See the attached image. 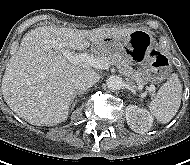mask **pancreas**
I'll list each match as a JSON object with an SVG mask.
<instances>
[{
  "label": "pancreas",
  "instance_id": "1",
  "mask_svg": "<svg viewBox=\"0 0 190 165\" xmlns=\"http://www.w3.org/2000/svg\"><path fill=\"white\" fill-rule=\"evenodd\" d=\"M95 58H99L101 60H104L108 62L111 65H115L118 67V69L123 73L128 75L133 81H135L137 84H145V81L141 74L134 70L125 60L121 58V56L117 53H112L109 55H96Z\"/></svg>",
  "mask_w": 190,
  "mask_h": 165
}]
</instances>
